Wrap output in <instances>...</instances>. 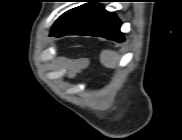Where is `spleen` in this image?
<instances>
[{
    "label": "spleen",
    "mask_w": 182,
    "mask_h": 140,
    "mask_svg": "<svg viewBox=\"0 0 182 140\" xmlns=\"http://www.w3.org/2000/svg\"><path fill=\"white\" fill-rule=\"evenodd\" d=\"M118 59V54L114 51L104 50L100 55L101 63L108 68L116 67Z\"/></svg>",
    "instance_id": "spleen-1"
}]
</instances>
